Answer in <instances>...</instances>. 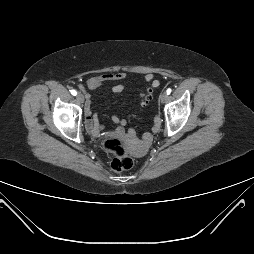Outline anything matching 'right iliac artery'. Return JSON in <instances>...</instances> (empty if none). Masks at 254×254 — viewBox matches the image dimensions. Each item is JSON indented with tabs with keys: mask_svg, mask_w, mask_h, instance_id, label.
<instances>
[{
	"mask_svg": "<svg viewBox=\"0 0 254 254\" xmlns=\"http://www.w3.org/2000/svg\"><path fill=\"white\" fill-rule=\"evenodd\" d=\"M71 94H72L73 96H76V95H77L76 90H71Z\"/></svg>",
	"mask_w": 254,
	"mask_h": 254,
	"instance_id": "right-iliac-artery-1",
	"label": "right iliac artery"
}]
</instances>
